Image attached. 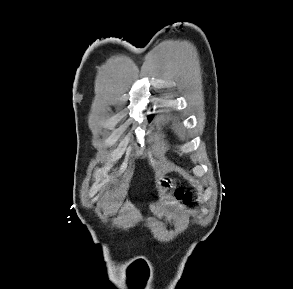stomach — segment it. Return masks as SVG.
I'll return each instance as SVG.
<instances>
[{
    "label": "stomach",
    "mask_w": 293,
    "mask_h": 289,
    "mask_svg": "<svg viewBox=\"0 0 293 289\" xmlns=\"http://www.w3.org/2000/svg\"><path fill=\"white\" fill-rule=\"evenodd\" d=\"M174 187L173 181L171 179L163 178L160 182L157 184V191L158 195L161 197L165 193H167L169 190H171Z\"/></svg>",
    "instance_id": "obj_1"
}]
</instances>
